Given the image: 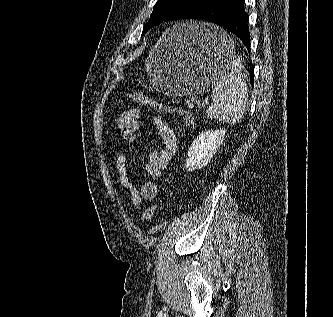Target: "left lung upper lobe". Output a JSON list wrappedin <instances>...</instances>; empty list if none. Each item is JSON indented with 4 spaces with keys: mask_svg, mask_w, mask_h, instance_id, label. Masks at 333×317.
Instances as JSON below:
<instances>
[{
    "mask_svg": "<svg viewBox=\"0 0 333 317\" xmlns=\"http://www.w3.org/2000/svg\"><path fill=\"white\" fill-rule=\"evenodd\" d=\"M212 1L214 0H158L143 30H148L163 21L185 19L193 10Z\"/></svg>",
    "mask_w": 333,
    "mask_h": 317,
    "instance_id": "obj_1",
    "label": "left lung upper lobe"
}]
</instances>
